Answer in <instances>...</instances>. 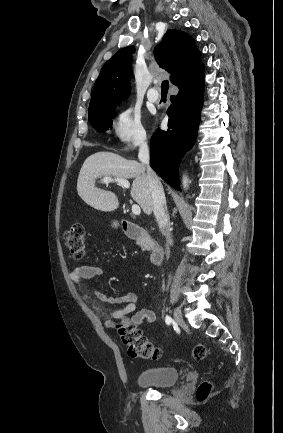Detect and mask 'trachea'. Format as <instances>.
Here are the masks:
<instances>
[{"mask_svg": "<svg viewBox=\"0 0 283 433\" xmlns=\"http://www.w3.org/2000/svg\"><path fill=\"white\" fill-rule=\"evenodd\" d=\"M169 88V82L167 80H164L161 84V91L162 93H167Z\"/></svg>", "mask_w": 283, "mask_h": 433, "instance_id": "1", "label": "trachea"}]
</instances>
